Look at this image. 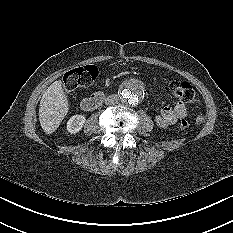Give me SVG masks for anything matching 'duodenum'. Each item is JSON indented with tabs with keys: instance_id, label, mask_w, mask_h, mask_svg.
Segmentation results:
<instances>
[{
	"instance_id": "1",
	"label": "duodenum",
	"mask_w": 233,
	"mask_h": 233,
	"mask_svg": "<svg viewBox=\"0 0 233 233\" xmlns=\"http://www.w3.org/2000/svg\"><path fill=\"white\" fill-rule=\"evenodd\" d=\"M105 98V93L95 92L81 101V108L85 111L94 110L104 102Z\"/></svg>"
}]
</instances>
